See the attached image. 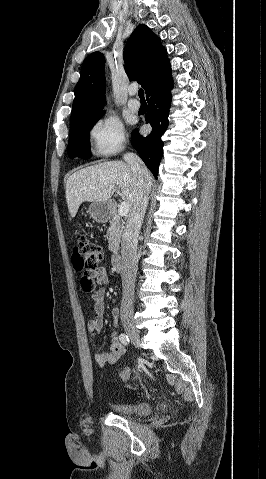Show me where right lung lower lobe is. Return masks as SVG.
I'll return each mask as SVG.
<instances>
[{
  "label": "right lung lower lobe",
  "mask_w": 266,
  "mask_h": 479,
  "mask_svg": "<svg viewBox=\"0 0 266 479\" xmlns=\"http://www.w3.org/2000/svg\"><path fill=\"white\" fill-rule=\"evenodd\" d=\"M173 87L170 77L158 87L147 93L148 112L145 116L146 123L151 124L152 132L144 137L137 130L132 132V144L149 170L158 175L164 143L161 136L167 130L169 121L168 113L171 103L170 91Z\"/></svg>",
  "instance_id": "98d812e1"
}]
</instances>
